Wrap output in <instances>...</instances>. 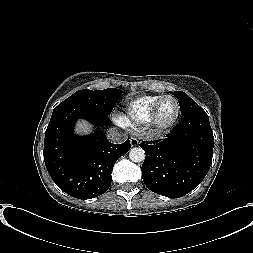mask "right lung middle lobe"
Here are the masks:
<instances>
[{"mask_svg": "<svg viewBox=\"0 0 253 253\" xmlns=\"http://www.w3.org/2000/svg\"><path fill=\"white\" fill-rule=\"evenodd\" d=\"M121 93L122 91L116 88L101 91L79 90L58 106H83L99 114L109 115L121 97Z\"/></svg>", "mask_w": 253, "mask_h": 253, "instance_id": "right-lung-middle-lobe-1", "label": "right lung middle lobe"}]
</instances>
